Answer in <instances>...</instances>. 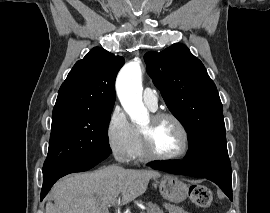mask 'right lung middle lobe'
Returning a JSON list of instances; mask_svg holds the SVG:
<instances>
[{"label": "right lung middle lobe", "mask_w": 270, "mask_h": 213, "mask_svg": "<svg viewBox=\"0 0 270 213\" xmlns=\"http://www.w3.org/2000/svg\"><path fill=\"white\" fill-rule=\"evenodd\" d=\"M110 114L111 111L53 113L49 150L43 168L111 154L107 135Z\"/></svg>", "instance_id": "dd1d6c3e"}]
</instances>
